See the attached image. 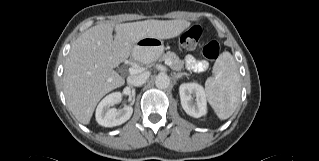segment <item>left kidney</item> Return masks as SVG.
Returning <instances> with one entry per match:
<instances>
[{"label": "left kidney", "mask_w": 319, "mask_h": 161, "mask_svg": "<svg viewBox=\"0 0 319 161\" xmlns=\"http://www.w3.org/2000/svg\"><path fill=\"white\" fill-rule=\"evenodd\" d=\"M181 105L184 111L199 118L207 113L206 94L203 87L197 83H183L179 87Z\"/></svg>", "instance_id": "left-kidney-1"}]
</instances>
